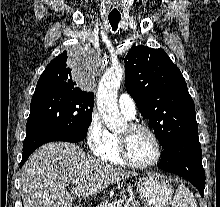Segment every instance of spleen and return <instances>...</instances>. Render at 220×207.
<instances>
[{
	"mask_svg": "<svg viewBox=\"0 0 220 207\" xmlns=\"http://www.w3.org/2000/svg\"><path fill=\"white\" fill-rule=\"evenodd\" d=\"M173 207H197L193 194L184 185H179L172 203Z\"/></svg>",
	"mask_w": 220,
	"mask_h": 207,
	"instance_id": "1",
	"label": "spleen"
}]
</instances>
